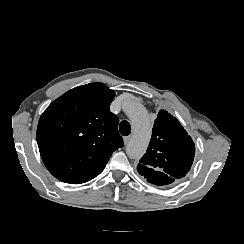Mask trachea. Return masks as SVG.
Returning a JSON list of instances; mask_svg holds the SVG:
<instances>
[{
  "label": "trachea",
  "mask_w": 244,
  "mask_h": 244,
  "mask_svg": "<svg viewBox=\"0 0 244 244\" xmlns=\"http://www.w3.org/2000/svg\"><path fill=\"white\" fill-rule=\"evenodd\" d=\"M120 134L123 136H127L131 132V125L128 121H122L119 125Z\"/></svg>",
  "instance_id": "trachea-1"
}]
</instances>
